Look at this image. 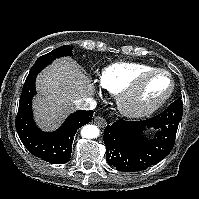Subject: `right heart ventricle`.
Listing matches in <instances>:
<instances>
[{
  "instance_id": "1",
  "label": "right heart ventricle",
  "mask_w": 199,
  "mask_h": 199,
  "mask_svg": "<svg viewBox=\"0 0 199 199\" xmlns=\"http://www.w3.org/2000/svg\"><path fill=\"white\" fill-rule=\"evenodd\" d=\"M153 69L137 62H118L105 67L99 75V84L112 94L122 92L140 73Z\"/></svg>"
}]
</instances>
